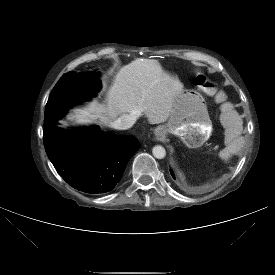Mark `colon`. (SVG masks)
<instances>
[{
	"mask_svg": "<svg viewBox=\"0 0 275 275\" xmlns=\"http://www.w3.org/2000/svg\"><path fill=\"white\" fill-rule=\"evenodd\" d=\"M197 83L201 86L207 93L214 95L219 102L225 100V96L219 85L209 79L207 76L200 74L197 76Z\"/></svg>",
	"mask_w": 275,
	"mask_h": 275,
	"instance_id": "colon-1",
	"label": "colon"
}]
</instances>
